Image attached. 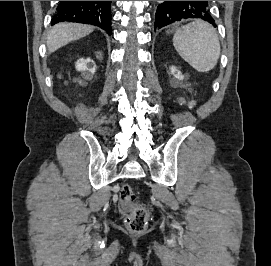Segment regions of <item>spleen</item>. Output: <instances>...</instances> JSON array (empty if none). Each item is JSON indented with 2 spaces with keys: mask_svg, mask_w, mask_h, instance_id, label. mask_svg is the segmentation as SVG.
Masks as SVG:
<instances>
[{
  "mask_svg": "<svg viewBox=\"0 0 271 266\" xmlns=\"http://www.w3.org/2000/svg\"><path fill=\"white\" fill-rule=\"evenodd\" d=\"M173 45L181 58L201 73L212 70L220 57L217 32L204 21H195L178 28Z\"/></svg>",
  "mask_w": 271,
  "mask_h": 266,
  "instance_id": "obj_1",
  "label": "spleen"
}]
</instances>
